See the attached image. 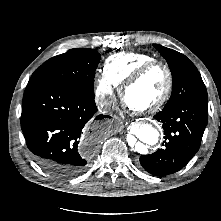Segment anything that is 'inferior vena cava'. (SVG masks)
Segmentation results:
<instances>
[{
	"label": "inferior vena cava",
	"instance_id": "602c4592",
	"mask_svg": "<svg viewBox=\"0 0 221 221\" xmlns=\"http://www.w3.org/2000/svg\"><path fill=\"white\" fill-rule=\"evenodd\" d=\"M111 106L112 103L109 99L102 98L97 101V107L99 111L102 113L109 112L111 110Z\"/></svg>",
	"mask_w": 221,
	"mask_h": 221
}]
</instances>
